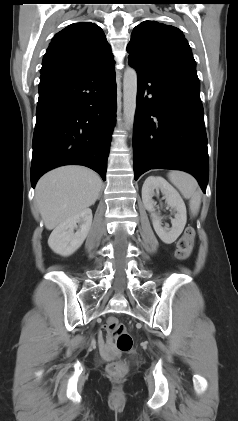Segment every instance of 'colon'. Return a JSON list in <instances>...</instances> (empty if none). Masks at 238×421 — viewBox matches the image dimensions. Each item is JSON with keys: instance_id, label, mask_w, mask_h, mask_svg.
Returning <instances> with one entry per match:
<instances>
[{"instance_id": "obj_1", "label": "colon", "mask_w": 238, "mask_h": 421, "mask_svg": "<svg viewBox=\"0 0 238 421\" xmlns=\"http://www.w3.org/2000/svg\"><path fill=\"white\" fill-rule=\"evenodd\" d=\"M195 238V231L188 227L184 230L177 242L175 255L179 260L187 259L192 251ZM107 330L110 332L117 349L120 352H129L133 347V340L124 324L116 318H110L107 322ZM108 373L114 377H121L126 372L124 362L116 361L108 365Z\"/></svg>"}]
</instances>
